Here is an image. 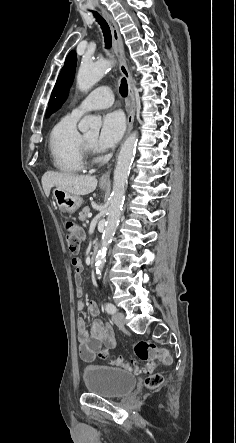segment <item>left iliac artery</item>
<instances>
[{
	"label": "left iliac artery",
	"mask_w": 236,
	"mask_h": 443,
	"mask_svg": "<svg viewBox=\"0 0 236 443\" xmlns=\"http://www.w3.org/2000/svg\"><path fill=\"white\" fill-rule=\"evenodd\" d=\"M105 310H106L109 314H114V313L117 311V309H116V307L114 306V304H112V303H110V302H107V303L105 304Z\"/></svg>",
	"instance_id": "obj_1"
}]
</instances>
